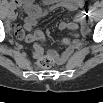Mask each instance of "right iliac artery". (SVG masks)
<instances>
[{"label":"right iliac artery","instance_id":"1","mask_svg":"<svg viewBox=\"0 0 103 103\" xmlns=\"http://www.w3.org/2000/svg\"><path fill=\"white\" fill-rule=\"evenodd\" d=\"M14 9H15V7L11 6V10H14Z\"/></svg>","mask_w":103,"mask_h":103}]
</instances>
